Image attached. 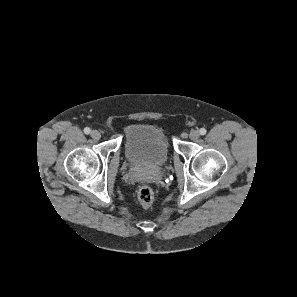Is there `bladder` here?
I'll use <instances>...</instances> for the list:
<instances>
[{
  "label": "bladder",
  "instance_id": "obj_1",
  "mask_svg": "<svg viewBox=\"0 0 297 297\" xmlns=\"http://www.w3.org/2000/svg\"><path fill=\"white\" fill-rule=\"evenodd\" d=\"M123 150L128 163L139 169H159L169 159L168 145L162 130L147 123L131 124L125 129Z\"/></svg>",
  "mask_w": 297,
  "mask_h": 297
}]
</instances>
